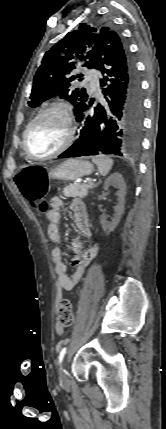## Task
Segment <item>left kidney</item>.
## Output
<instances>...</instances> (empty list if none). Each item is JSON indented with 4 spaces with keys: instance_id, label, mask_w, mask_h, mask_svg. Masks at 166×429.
<instances>
[{
    "instance_id": "1",
    "label": "left kidney",
    "mask_w": 166,
    "mask_h": 429,
    "mask_svg": "<svg viewBox=\"0 0 166 429\" xmlns=\"http://www.w3.org/2000/svg\"><path fill=\"white\" fill-rule=\"evenodd\" d=\"M110 186H115L119 190L117 192L118 204L114 207L115 214L112 221H107V218L104 215L100 217L102 228L107 233L114 231L121 219V216L124 212L126 194V184L124 182L123 176L120 173L115 172L105 180L104 190H108Z\"/></svg>"
}]
</instances>
